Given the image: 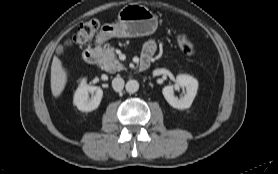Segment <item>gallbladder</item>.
<instances>
[{"label": "gallbladder", "instance_id": "bac80fb5", "mask_svg": "<svg viewBox=\"0 0 278 174\" xmlns=\"http://www.w3.org/2000/svg\"><path fill=\"white\" fill-rule=\"evenodd\" d=\"M57 51H58L59 53H62V52H63V46H62V45H59V46L57 47Z\"/></svg>", "mask_w": 278, "mask_h": 174}]
</instances>
